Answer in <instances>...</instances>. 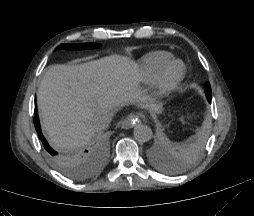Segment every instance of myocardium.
<instances>
[{
  "label": "myocardium",
  "instance_id": "obj_1",
  "mask_svg": "<svg viewBox=\"0 0 254 216\" xmlns=\"http://www.w3.org/2000/svg\"><path fill=\"white\" fill-rule=\"evenodd\" d=\"M185 74V64L179 59H171L160 70L155 86L153 88L152 96L158 101L162 102L178 85Z\"/></svg>",
  "mask_w": 254,
  "mask_h": 216
}]
</instances>
